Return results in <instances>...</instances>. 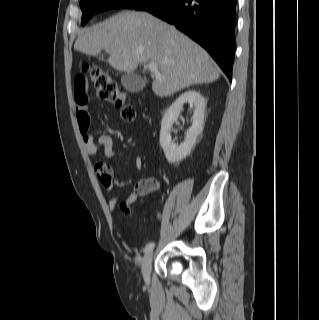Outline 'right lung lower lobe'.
<instances>
[{"label": "right lung lower lobe", "mask_w": 319, "mask_h": 320, "mask_svg": "<svg viewBox=\"0 0 319 320\" xmlns=\"http://www.w3.org/2000/svg\"><path fill=\"white\" fill-rule=\"evenodd\" d=\"M236 4L237 0H152L136 10L174 24L204 47L232 80Z\"/></svg>", "instance_id": "1"}]
</instances>
